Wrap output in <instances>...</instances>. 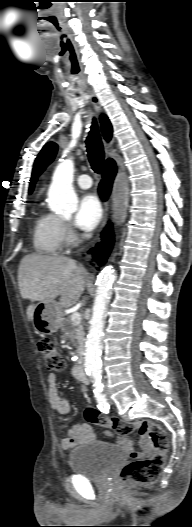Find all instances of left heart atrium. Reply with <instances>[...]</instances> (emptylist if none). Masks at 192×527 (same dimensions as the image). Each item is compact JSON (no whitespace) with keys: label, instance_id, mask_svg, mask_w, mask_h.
I'll return each mask as SVG.
<instances>
[{"label":"left heart atrium","instance_id":"39dd6f15","mask_svg":"<svg viewBox=\"0 0 192 527\" xmlns=\"http://www.w3.org/2000/svg\"><path fill=\"white\" fill-rule=\"evenodd\" d=\"M102 217V207L95 195L87 194L79 202L74 225L83 231L93 230Z\"/></svg>","mask_w":192,"mask_h":527}]
</instances>
